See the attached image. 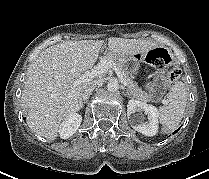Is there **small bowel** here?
Here are the masks:
<instances>
[{
	"instance_id": "small-bowel-1",
	"label": "small bowel",
	"mask_w": 209,
	"mask_h": 179,
	"mask_svg": "<svg viewBox=\"0 0 209 179\" xmlns=\"http://www.w3.org/2000/svg\"><path fill=\"white\" fill-rule=\"evenodd\" d=\"M166 77L162 74L156 75L148 84V90L151 97L158 100L164 93L166 88Z\"/></svg>"
}]
</instances>
